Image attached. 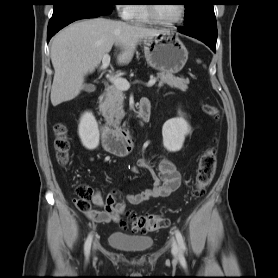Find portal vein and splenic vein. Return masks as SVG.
Masks as SVG:
<instances>
[{
  "mask_svg": "<svg viewBox=\"0 0 278 278\" xmlns=\"http://www.w3.org/2000/svg\"><path fill=\"white\" fill-rule=\"evenodd\" d=\"M110 64V56L108 54H105L102 58V65L101 69L105 70ZM107 79L117 88L121 90H128L130 88L129 82L121 77H116L113 75H107ZM157 79L152 78L149 80V82L146 84L147 87H152L156 83Z\"/></svg>",
  "mask_w": 278,
  "mask_h": 278,
  "instance_id": "obj_1",
  "label": "portal vein and splenic vein"
}]
</instances>
